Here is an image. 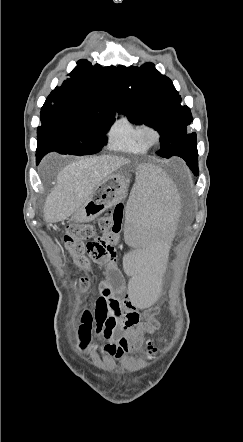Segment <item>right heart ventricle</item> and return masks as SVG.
Instances as JSON below:
<instances>
[{
	"mask_svg": "<svg viewBox=\"0 0 243 442\" xmlns=\"http://www.w3.org/2000/svg\"><path fill=\"white\" fill-rule=\"evenodd\" d=\"M142 125L127 113L118 114L108 132L109 148L129 154L145 153L148 147L140 138Z\"/></svg>",
	"mask_w": 243,
	"mask_h": 442,
	"instance_id": "right-heart-ventricle-1",
	"label": "right heart ventricle"
}]
</instances>
